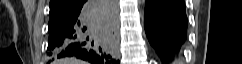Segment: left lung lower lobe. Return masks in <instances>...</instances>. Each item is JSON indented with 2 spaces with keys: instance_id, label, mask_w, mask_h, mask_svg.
Instances as JSON below:
<instances>
[{
  "instance_id": "0a47b994",
  "label": "left lung lower lobe",
  "mask_w": 242,
  "mask_h": 64,
  "mask_svg": "<svg viewBox=\"0 0 242 64\" xmlns=\"http://www.w3.org/2000/svg\"><path fill=\"white\" fill-rule=\"evenodd\" d=\"M144 27L161 61L168 64L176 60L187 39L184 0H146Z\"/></svg>"
}]
</instances>
